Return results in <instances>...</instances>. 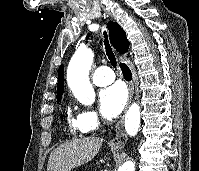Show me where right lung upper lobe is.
Returning a JSON list of instances; mask_svg holds the SVG:
<instances>
[{
  "label": "right lung upper lobe",
  "instance_id": "obj_1",
  "mask_svg": "<svg viewBox=\"0 0 199 171\" xmlns=\"http://www.w3.org/2000/svg\"><path fill=\"white\" fill-rule=\"evenodd\" d=\"M110 41L119 53H125L129 48V42L125 31L116 22H108ZM64 90V67L61 65L58 70L57 99H61Z\"/></svg>",
  "mask_w": 199,
  "mask_h": 171
}]
</instances>
